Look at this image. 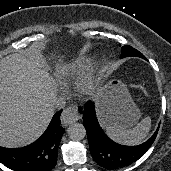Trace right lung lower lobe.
I'll use <instances>...</instances> for the list:
<instances>
[{
	"label": "right lung lower lobe",
	"instance_id": "98d812e1",
	"mask_svg": "<svg viewBox=\"0 0 171 171\" xmlns=\"http://www.w3.org/2000/svg\"><path fill=\"white\" fill-rule=\"evenodd\" d=\"M61 112L53 116L44 134L34 143L16 149L0 147V162L15 171H50L54 168L64 133L60 126Z\"/></svg>",
	"mask_w": 171,
	"mask_h": 171
}]
</instances>
